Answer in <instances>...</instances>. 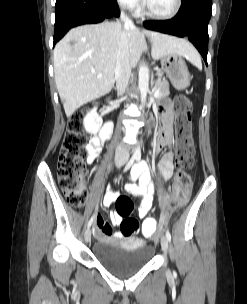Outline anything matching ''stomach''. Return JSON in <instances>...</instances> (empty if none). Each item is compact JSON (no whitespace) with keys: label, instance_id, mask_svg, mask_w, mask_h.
<instances>
[{"label":"stomach","instance_id":"obj_1","mask_svg":"<svg viewBox=\"0 0 247 304\" xmlns=\"http://www.w3.org/2000/svg\"><path fill=\"white\" fill-rule=\"evenodd\" d=\"M162 69L170 79L172 85L183 90L190 85V74L184 59L177 54H169L161 60Z\"/></svg>","mask_w":247,"mask_h":304}]
</instances>
